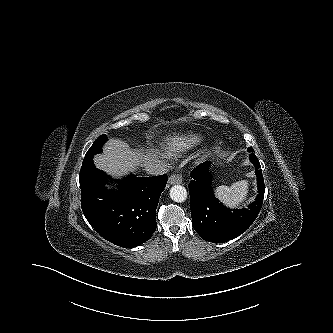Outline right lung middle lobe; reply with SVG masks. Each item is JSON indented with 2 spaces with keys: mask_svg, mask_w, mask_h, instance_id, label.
<instances>
[{
  "mask_svg": "<svg viewBox=\"0 0 333 333\" xmlns=\"http://www.w3.org/2000/svg\"><path fill=\"white\" fill-rule=\"evenodd\" d=\"M106 140H107V136L105 134L100 135L96 139V141L93 143V145L90 147V149L87 151V153L85 155L80 173L90 170V168L93 166V162H92L93 156L102 151V149H101L102 145Z\"/></svg>",
  "mask_w": 333,
  "mask_h": 333,
  "instance_id": "dd1d6c3e",
  "label": "right lung middle lobe"
}]
</instances>
